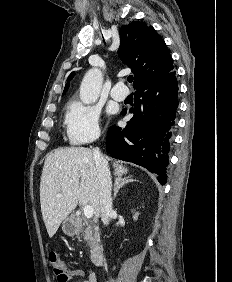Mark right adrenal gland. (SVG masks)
Masks as SVG:
<instances>
[{"instance_id": "right-adrenal-gland-1", "label": "right adrenal gland", "mask_w": 232, "mask_h": 282, "mask_svg": "<svg viewBox=\"0 0 232 282\" xmlns=\"http://www.w3.org/2000/svg\"><path fill=\"white\" fill-rule=\"evenodd\" d=\"M137 181L136 179H133L131 176L128 177H122L118 176L115 181H114V195H113V200H115L118 191L126 184L130 182Z\"/></svg>"}]
</instances>
